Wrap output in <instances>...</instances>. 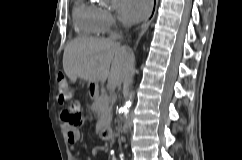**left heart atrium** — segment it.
I'll return each instance as SVG.
<instances>
[{
    "mask_svg": "<svg viewBox=\"0 0 242 160\" xmlns=\"http://www.w3.org/2000/svg\"><path fill=\"white\" fill-rule=\"evenodd\" d=\"M151 0H117V13L122 21L134 24L149 12Z\"/></svg>",
    "mask_w": 242,
    "mask_h": 160,
    "instance_id": "1",
    "label": "left heart atrium"
}]
</instances>
